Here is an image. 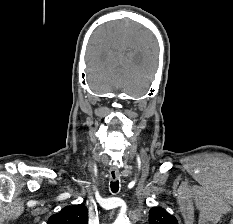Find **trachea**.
<instances>
[{
  "instance_id": "trachea-1",
  "label": "trachea",
  "mask_w": 233,
  "mask_h": 224,
  "mask_svg": "<svg viewBox=\"0 0 233 224\" xmlns=\"http://www.w3.org/2000/svg\"><path fill=\"white\" fill-rule=\"evenodd\" d=\"M110 187H111V191L113 193H117L118 190H119V182H118V180L112 181Z\"/></svg>"
}]
</instances>
